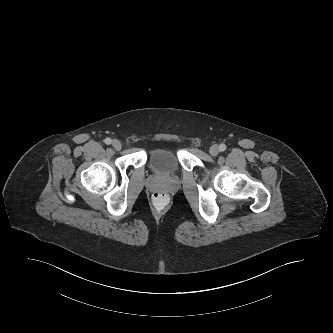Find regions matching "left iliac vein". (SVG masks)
Segmentation results:
<instances>
[{"mask_svg": "<svg viewBox=\"0 0 333 333\" xmlns=\"http://www.w3.org/2000/svg\"><path fill=\"white\" fill-rule=\"evenodd\" d=\"M220 152L219 150V147L217 145H212L209 149V153L212 155V156H216L218 155Z\"/></svg>", "mask_w": 333, "mask_h": 333, "instance_id": "left-iliac-vein-1", "label": "left iliac vein"}]
</instances>
